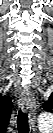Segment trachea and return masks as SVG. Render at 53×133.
Segmentation results:
<instances>
[{
	"mask_svg": "<svg viewBox=\"0 0 53 133\" xmlns=\"http://www.w3.org/2000/svg\"><path fill=\"white\" fill-rule=\"evenodd\" d=\"M17 130L18 133H29L28 115L26 112L20 110L17 116Z\"/></svg>",
	"mask_w": 53,
	"mask_h": 133,
	"instance_id": "obj_1",
	"label": "trachea"
}]
</instances>
